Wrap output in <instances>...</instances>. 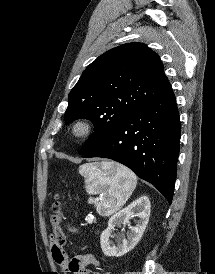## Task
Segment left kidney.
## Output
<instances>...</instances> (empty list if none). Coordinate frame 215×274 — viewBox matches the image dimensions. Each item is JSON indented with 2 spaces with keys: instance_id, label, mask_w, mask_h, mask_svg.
Listing matches in <instances>:
<instances>
[{
  "instance_id": "1",
  "label": "left kidney",
  "mask_w": 215,
  "mask_h": 274,
  "mask_svg": "<svg viewBox=\"0 0 215 274\" xmlns=\"http://www.w3.org/2000/svg\"><path fill=\"white\" fill-rule=\"evenodd\" d=\"M150 201L148 197L142 196L137 200L133 201L126 208L115 213L108 222V227L105 229L100 237L101 248L104 255L108 257H120L132 250L138 241L141 239L145 228L149 221L150 215ZM137 216L139 220L136 226H130V218ZM121 224H128L130 226V233L127 234V239L122 236L115 245L111 237L116 235L113 233L115 226H120Z\"/></svg>"
}]
</instances>
